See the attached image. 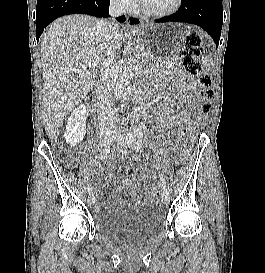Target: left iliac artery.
Returning <instances> with one entry per match:
<instances>
[{"instance_id":"44dca946","label":"left iliac artery","mask_w":265,"mask_h":273,"mask_svg":"<svg viewBox=\"0 0 265 273\" xmlns=\"http://www.w3.org/2000/svg\"><path fill=\"white\" fill-rule=\"evenodd\" d=\"M134 133H135V135H136L137 137H139V138H142V137H143V132H142V130H141L140 128H135V129H134ZM160 184H161V186H162L163 188L166 187V182H165V179H164L163 176L160 177Z\"/></svg>"}]
</instances>
